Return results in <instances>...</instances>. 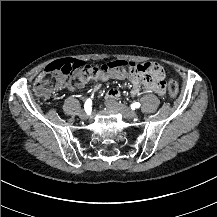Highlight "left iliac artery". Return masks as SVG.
Here are the masks:
<instances>
[{
    "mask_svg": "<svg viewBox=\"0 0 217 217\" xmlns=\"http://www.w3.org/2000/svg\"><path fill=\"white\" fill-rule=\"evenodd\" d=\"M141 104L139 102H135L131 105V108L134 110L135 108H139Z\"/></svg>",
    "mask_w": 217,
    "mask_h": 217,
    "instance_id": "1",
    "label": "left iliac artery"
}]
</instances>
